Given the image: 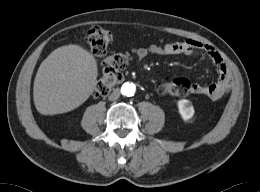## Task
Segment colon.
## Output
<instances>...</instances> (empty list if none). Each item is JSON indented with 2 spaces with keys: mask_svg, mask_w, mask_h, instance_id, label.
Returning a JSON list of instances; mask_svg holds the SVG:
<instances>
[{
  "mask_svg": "<svg viewBox=\"0 0 260 192\" xmlns=\"http://www.w3.org/2000/svg\"><path fill=\"white\" fill-rule=\"evenodd\" d=\"M111 39V33L100 26H93L86 36L91 51L98 56L106 53ZM128 60V56L125 53H115L104 60V71L96 83L95 97L107 95L112 87L122 79L123 71L128 65ZM191 87V82L188 79L166 78L157 83L156 89L161 95L184 96L191 92Z\"/></svg>",
  "mask_w": 260,
  "mask_h": 192,
  "instance_id": "colon-1",
  "label": "colon"
}]
</instances>
